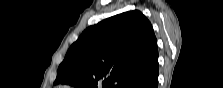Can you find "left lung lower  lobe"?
<instances>
[{"mask_svg": "<svg viewBox=\"0 0 223 88\" xmlns=\"http://www.w3.org/2000/svg\"><path fill=\"white\" fill-rule=\"evenodd\" d=\"M158 61L136 81H134L129 88H158Z\"/></svg>", "mask_w": 223, "mask_h": 88, "instance_id": "left-lung-lower-lobe-1", "label": "left lung lower lobe"}]
</instances>
